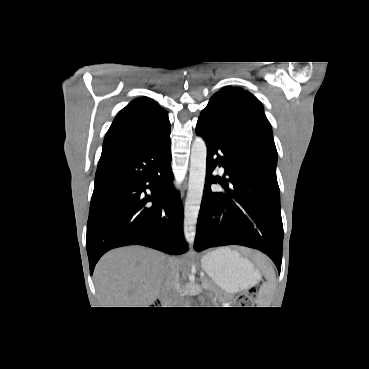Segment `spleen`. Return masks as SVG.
<instances>
[{"instance_id": "3e777b00", "label": "spleen", "mask_w": 369, "mask_h": 369, "mask_svg": "<svg viewBox=\"0 0 369 369\" xmlns=\"http://www.w3.org/2000/svg\"><path fill=\"white\" fill-rule=\"evenodd\" d=\"M259 262L263 267L267 282L260 287L258 294V303L259 305H263L261 307H269L268 305H270V298L275 283V272L271 267H268L261 261Z\"/></svg>"}]
</instances>
